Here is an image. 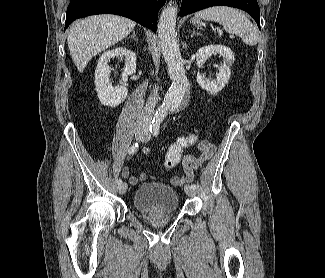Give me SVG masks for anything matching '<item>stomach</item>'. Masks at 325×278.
Returning <instances> with one entry per match:
<instances>
[{"label": "stomach", "mask_w": 325, "mask_h": 278, "mask_svg": "<svg viewBox=\"0 0 325 278\" xmlns=\"http://www.w3.org/2000/svg\"><path fill=\"white\" fill-rule=\"evenodd\" d=\"M191 23H192L193 25H199V24L201 23V21H200V19L193 18V19L191 20Z\"/></svg>", "instance_id": "obj_1"}]
</instances>
